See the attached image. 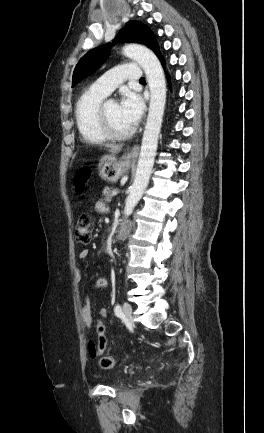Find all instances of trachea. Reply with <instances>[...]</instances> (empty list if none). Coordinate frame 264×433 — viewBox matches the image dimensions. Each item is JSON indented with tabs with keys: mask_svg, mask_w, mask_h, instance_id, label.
<instances>
[{
	"mask_svg": "<svg viewBox=\"0 0 264 433\" xmlns=\"http://www.w3.org/2000/svg\"><path fill=\"white\" fill-rule=\"evenodd\" d=\"M140 81H145L144 77H142V78L140 79Z\"/></svg>",
	"mask_w": 264,
	"mask_h": 433,
	"instance_id": "trachea-1",
	"label": "trachea"
}]
</instances>
